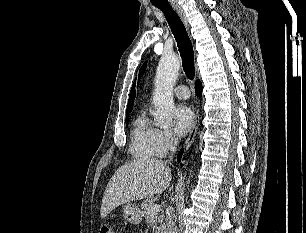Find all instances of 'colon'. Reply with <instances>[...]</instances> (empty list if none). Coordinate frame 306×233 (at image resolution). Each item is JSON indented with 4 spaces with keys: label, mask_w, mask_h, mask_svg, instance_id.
Segmentation results:
<instances>
[{
    "label": "colon",
    "mask_w": 306,
    "mask_h": 233,
    "mask_svg": "<svg viewBox=\"0 0 306 233\" xmlns=\"http://www.w3.org/2000/svg\"><path fill=\"white\" fill-rule=\"evenodd\" d=\"M100 233H116V230L111 223H104L101 226Z\"/></svg>",
    "instance_id": "colon-1"
}]
</instances>
